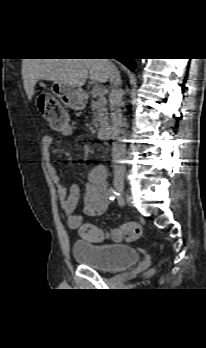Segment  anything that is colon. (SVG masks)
<instances>
[{"instance_id":"obj_1","label":"colon","mask_w":206,"mask_h":348,"mask_svg":"<svg viewBox=\"0 0 206 348\" xmlns=\"http://www.w3.org/2000/svg\"><path fill=\"white\" fill-rule=\"evenodd\" d=\"M37 107L42 116L49 122L50 127L57 132L68 133L71 130L69 117L58 101L49 93H39L36 97ZM80 236L88 241L97 242L106 237L114 241L126 239L133 241L142 234V227L136 222H127L119 228L113 229L110 233H104L101 229L92 224H83L79 228Z\"/></svg>"}]
</instances>
